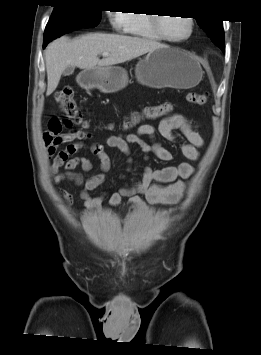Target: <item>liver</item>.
<instances>
[{
  "mask_svg": "<svg viewBox=\"0 0 261 355\" xmlns=\"http://www.w3.org/2000/svg\"><path fill=\"white\" fill-rule=\"evenodd\" d=\"M163 46L157 41L120 34L89 33L72 40L65 36L60 37L50 43L45 51L46 95L55 91L68 66L80 69L107 67ZM104 52L109 55L100 60L98 56Z\"/></svg>",
  "mask_w": 261,
  "mask_h": 355,
  "instance_id": "1",
  "label": "liver"
}]
</instances>
